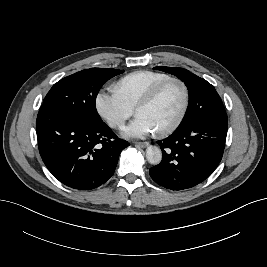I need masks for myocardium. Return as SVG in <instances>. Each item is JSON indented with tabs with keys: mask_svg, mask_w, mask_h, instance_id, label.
<instances>
[{
	"mask_svg": "<svg viewBox=\"0 0 267 267\" xmlns=\"http://www.w3.org/2000/svg\"><path fill=\"white\" fill-rule=\"evenodd\" d=\"M171 82H176L178 83L182 90H183V105L181 108V111L178 115V117L176 118V120L170 124L169 126L157 130L156 133L160 136H165L168 134H171L172 132H174L183 122L188 108H189V103H190V93H189V89L188 86L186 85V83L178 78V77H168L162 81H160L159 83H157L156 85H154L149 92L139 101V103L136 105V112L144 107L147 106L149 104H151L152 102L155 101V99L157 98V96L159 95V93L161 92V90L169 83Z\"/></svg>",
	"mask_w": 267,
	"mask_h": 267,
	"instance_id": "obj_1",
	"label": "myocardium"
}]
</instances>
